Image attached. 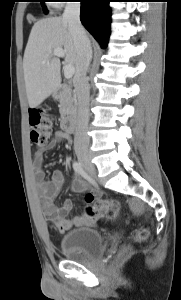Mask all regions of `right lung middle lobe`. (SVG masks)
Listing matches in <instances>:
<instances>
[{
  "instance_id": "right-lung-middle-lobe-1",
  "label": "right lung middle lobe",
  "mask_w": 181,
  "mask_h": 300,
  "mask_svg": "<svg viewBox=\"0 0 181 300\" xmlns=\"http://www.w3.org/2000/svg\"><path fill=\"white\" fill-rule=\"evenodd\" d=\"M39 1L41 2V5H42V7H43L44 13H46V12H47V9H46V6L44 5V0H39Z\"/></svg>"
}]
</instances>
